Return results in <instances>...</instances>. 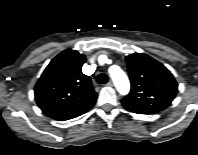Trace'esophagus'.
Returning <instances> with one entry per match:
<instances>
[{
  "label": "esophagus",
  "instance_id": "esophagus-1",
  "mask_svg": "<svg viewBox=\"0 0 198 155\" xmlns=\"http://www.w3.org/2000/svg\"><path fill=\"white\" fill-rule=\"evenodd\" d=\"M107 86H113V81L110 80V81L107 83Z\"/></svg>",
  "mask_w": 198,
  "mask_h": 155
}]
</instances>
